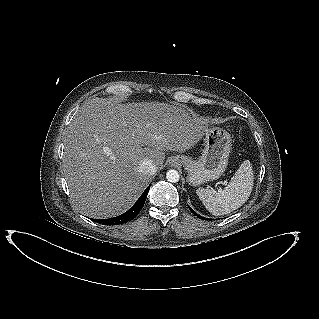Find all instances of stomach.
<instances>
[{
  "label": "stomach",
  "mask_w": 319,
  "mask_h": 319,
  "mask_svg": "<svg viewBox=\"0 0 319 319\" xmlns=\"http://www.w3.org/2000/svg\"><path fill=\"white\" fill-rule=\"evenodd\" d=\"M205 148L199 160L177 155L188 172L187 180L197 186L218 179L226 170L231 149V136L221 128L210 127L204 133Z\"/></svg>",
  "instance_id": "obj_1"
}]
</instances>
